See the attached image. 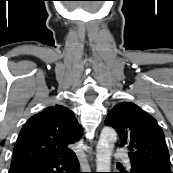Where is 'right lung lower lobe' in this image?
<instances>
[{
  "mask_svg": "<svg viewBox=\"0 0 173 173\" xmlns=\"http://www.w3.org/2000/svg\"><path fill=\"white\" fill-rule=\"evenodd\" d=\"M79 162L72 151L63 157L10 166L9 173H79Z\"/></svg>",
  "mask_w": 173,
  "mask_h": 173,
  "instance_id": "98d812e1",
  "label": "right lung lower lobe"
}]
</instances>
